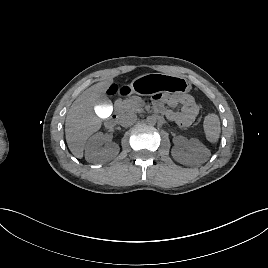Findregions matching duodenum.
Returning <instances> with one entry per match:
<instances>
[{"label":"duodenum","instance_id":"410a0bca","mask_svg":"<svg viewBox=\"0 0 268 268\" xmlns=\"http://www.w3.org/2000/svg\"><path fill=\"white\" fill-rule=\"evenodd\" d=\"M125 92H122L121 94H120V98H122V97H124L125 96ZM118 118H119V116H118V114L117 113H113L108 119H107V124H108V126H110V127H112V126H114L115 124H116V122L118 121Z\"/></svg>","mask_w":268,"mask_h":268}]
</instances>
